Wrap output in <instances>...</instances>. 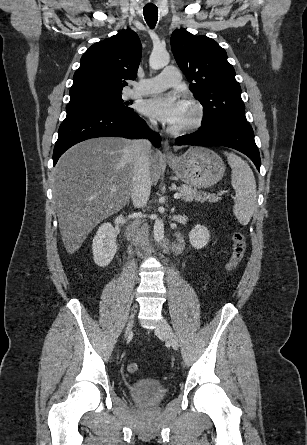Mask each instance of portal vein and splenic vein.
<instances>
[{
    "label": "portal vein and splenic vein",
    "instance_id": "obj_1",
    "mask_svg": "<svg viewBox=\"0 0 307 445\" xmlns=\"http://www.w3.org/2000/svg\"><path fill=\"white\" fill-rule=\"evenodd\" d=\"M111 190H116V188H111ZM181 192H175L174 198H180Z\"/></svg>",
    "mask_w": 307,
    "mask_h": 445
}]
</instances>
